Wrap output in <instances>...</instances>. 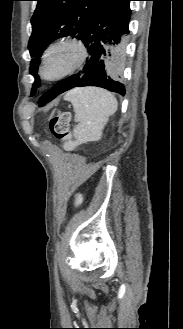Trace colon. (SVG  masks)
Masks as SVG:
<instances>
[{"instance_id": "obj_1", "label": "colon", "mask_w": 183, "mask_h": 329, "mask_svg": "<svg viewBox=\"0 0 183 329\" xmlns=\"http://www.w3.org/2000/svg\"><path fill=\"white\" fill-rule=\"evenodd\" d=\"M71 113L68 111H56L51 115L49 126L52 134L60 140H65L69 136ZM70 217H79V210L73 206L68 208Z\"/></svg>"}]
</instances>
